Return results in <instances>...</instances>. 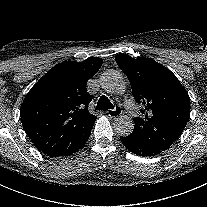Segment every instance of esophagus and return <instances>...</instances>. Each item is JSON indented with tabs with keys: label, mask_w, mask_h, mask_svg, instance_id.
I'll list each match as a JSON object with an SVG mask.
<instances>
[{
	"label": "esophagus",
	"mask_w": 207,
	"mask_h": 207,
	"mask_svg": "<svg viewBox=\"0 0 207 207\" xmlns=\"http://www.w3.org/2000/svg\"><path fill=\"white\" fill-rule=\"evenodd\" d=\"M106 113L110 118H117L122 114V110L120 107H117L116 109H109Z\"/></svg>",
	"instance_id": "1"
}]
</instances>
